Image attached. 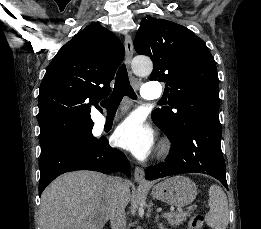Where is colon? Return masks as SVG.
<instances>
[{"label":"colon","instance_id":"colon-1","mask_svg":"<svg viewBox=\"0 0 261 229\" xmlns=\"http://www.w3.org/2000/svg\"><path fill=\"white\" fill-rule=\"evenodd\" d=\"M204 226V216L196 214L191 217L187 222V229H202Z\"/></svg>","mask_w":261,"mask_h":229}]
</instances>
